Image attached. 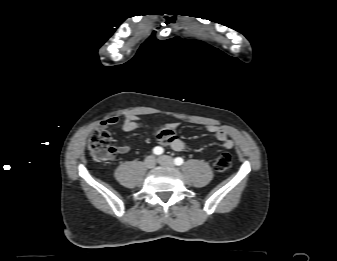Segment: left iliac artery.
<instances>
[{"mask_svg":"<svg viewBox=\"0 0 337 261\" xmlns=\"http://www.w3.org/2000/svg\"><path fill=\"white\" fill-rule=\"evenodd\" d=\"M174 163H175L177 166H180V165H182V164L184 163V160H183V158H181V157H176V158L174 159Z\"/></svg>","mask_w":337,"mask_h":261,"instance_id":"left-iliac-artery-1","label":"left iliac artery"}]
</instances>
